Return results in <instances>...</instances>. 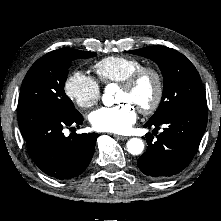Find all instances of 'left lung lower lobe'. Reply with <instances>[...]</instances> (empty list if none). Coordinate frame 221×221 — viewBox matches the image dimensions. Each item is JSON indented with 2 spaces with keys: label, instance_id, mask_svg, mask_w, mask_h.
Segmentation results:
<instances>
[{
  "label": "left lung lower lobe",
  "instance_id": "obj_1",
  "mask_svg": "<svg viewBox=\"0 0 221 221\" xmlns=\"http://www.w3.org/2000/svg\"><path fill=\"white\" fill-rule=\"evenodd\" d=\"M207 125V105H191L179 109L158 122L144 127H165L153 141L146 134L147 150L138 159L140 170L150 177L164 179L186 168L196 154ZM155 135V134H154Z\"/></svg>",
  "mask_w": 221,
  "mask_h": 221
}]
</instances>
